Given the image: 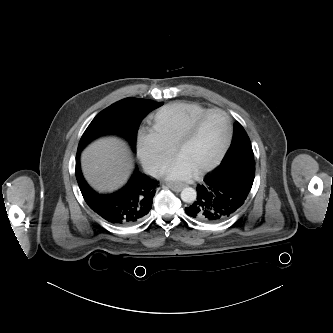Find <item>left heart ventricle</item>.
<instances>
[{"instance_id": "obj_1", "label": "left heart ventricle", "mask_w": 333, "mask_h": 333, "mask_svg": "<svg viewBox=\"0 0 333 333\" xmlns=\"http://www.w3.org/2000/svg\"><path fill=\"white\" fill-rule=\"evenodd\" d=\"M228 131L225 117L220 113L207 116L194 135L178 150L177 156L194 171L209 164L220 151Z\"/></svg>"}]
</instances>
